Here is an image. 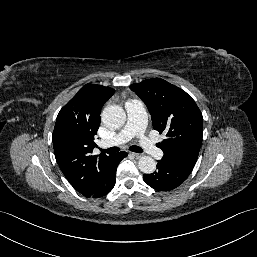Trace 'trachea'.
I'll return each instance as SVG.
<instances>
[{"label": "trachea", "mask_w": 257, "mask_h": 257, "mask_svg": "<svg viewBox=\"0 0 257 257\" xmlns=\"http://www.w3.org/2000/svg\"><path fill=\"white\" fill-rule=\"evenodd\" d=\"M120 150L119 147H111L108 149H100V151H102V153H107V154H113V153H117ZM129 150L132 152H136V153H142L143 150L141 147L132 145L129 147Z\"/></svg>", "instance_id": "1"}]
</instances>
